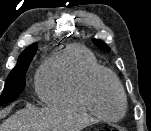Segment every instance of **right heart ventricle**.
I'll list each match as a JSON object with an SVG mask.
<instances>
[{
    "label": "right heart ventricle",
    "instance_id": "obj_1",
    "mask_svg": "<svg viewBox=\"0 0 151 131\" xmlns=\"http://www.w3.org/2000/svg\"><path fill=\"white\" fill-rule=\"evenodd\" d=\"M99 66L89 49L80 44H68L41 66L37 92L47 104L95 114L86 100L84 85L91 70Z\"/></svg>",
    "mask_w": 151,
    "mask_h": 131
}]
</instances>
